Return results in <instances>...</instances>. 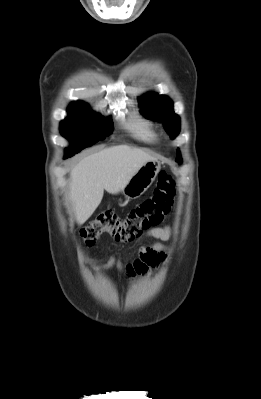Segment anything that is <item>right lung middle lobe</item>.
<instances>
[{"label":"right lung middle lobe","mask_w":261,"mask_h":399,"mask_svg":"<svg viewBox=\"0 0 261 399\" xmlns=\"http://www.w3.org/2000/svg\"><path fill=\"white\" fill-rule=\"evenodd\" d=\"M67 111L69 117L61 122L60 130L61 134L75 145L65 150V158L104 139L113 130L111 116L106 119L101 118L83 102L72 103Z\"/></svg>","instance_id":"1"}]
</instances>
